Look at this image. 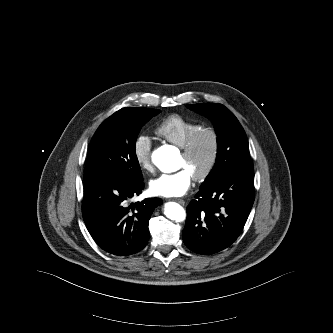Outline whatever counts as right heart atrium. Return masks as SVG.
Listing matches in <instances>:
<instances>
[{"instance_id": "d8ad5b80", "label": "right heart atrium", "mask_w": 333, "mask_h": 333, "mask_svg": "<svg viewBox=\"0 0 333 333\" xmlns=\"http://www.w3.org/2000/svg\"><path fill=\"white\" fill-rule=\"evenodd\" d=\"M152 142L148 135H138L133 142V155L137 164L145 171L152 168Z\"/></svg>"}]
</instances>
